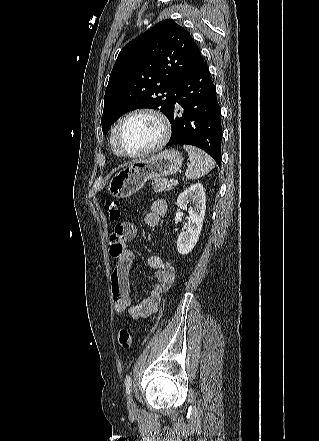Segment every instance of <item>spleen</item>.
<instances>
[{"instance_id": "3e777b00", "label": "spleen", "mask_w": 319, "mask_h": 441, "mask_svg": "<svg viewBox=\"0 0 319 441\" xmlns=\"http://www.w3.org/2000/svg\"><path fill=\"white\" fill-rule=\"evenodd\" d=\"M183 148L188 152L190 160V165L185 172L187 179H198L213 169L214 161L207 153L190 145H184Z\"/></svg>"}]
</instances>
